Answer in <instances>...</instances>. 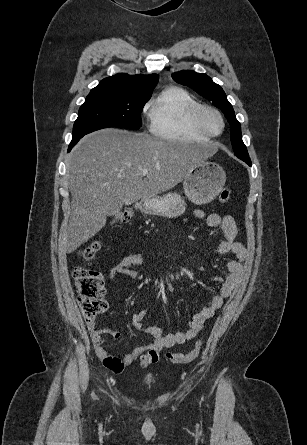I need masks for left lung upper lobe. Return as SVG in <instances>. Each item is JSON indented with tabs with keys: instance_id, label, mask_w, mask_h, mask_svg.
<instances>
[{
	"instance_id": "1",
	"label": "left lung upper lobe",
	"mask_w": 307,
	"mask_h": 445,
	"mask_svg": "<svg viewBox=\"0 0 307 445\" xmlns=\"http://www.w3.org/2000/svg\"><path fill=\"white\" fill-rule=\"evenodd\" d=\"M172 78L177 83L186 85L204 98L213 101V103L221 109L231 125L230 138L235 155L238 158H243L247 162H250L246 146L242 141L240 123L236 119L232 105L227 100L223 89L218 84L214 83L209 76L190 70L174 73L172 74Z\"/></svg>"
}]
</instances>
